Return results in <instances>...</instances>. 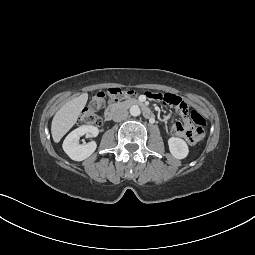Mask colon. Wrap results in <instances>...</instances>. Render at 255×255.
Here are the masks:
<instances>
[{"label": "colon", "instance_id": "5ec220e1", "mask_svg": "<svg viewBox=\"0 0 255 255\" xmlns=\"http://www.w3.org/2000/svg\"><path fill=\"white\" fill-rule=\"evenodd\" d=\"M133 93L134 91L132 90H124L118 87L109 88L106 93L102 91L95 92L90 104L83 110L80 116V124L85 126L98 125L100 123V118L97 112L105 105L107 98L113 101H119ZM146 95L148 98L161 100L165 104L175 107L180 105V100L169 93L160 94L148 91ZM180 113L183 121L176 126L174 132L183 137L189 144H196L204 136L203 126L206 124V120L201 114L195 111L189 113L188 110H184Z\"/></svg>", "mask_w": 255, "mask_h": 255}]
</instances>
